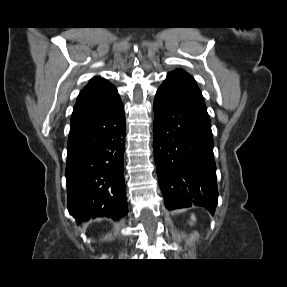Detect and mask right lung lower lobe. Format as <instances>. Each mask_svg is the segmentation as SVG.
Listing matches in <instances>:
<instances>
[{
  "mask_svg": "<svg viewBox=\"0 0 287 287\" xmlns=\"http://www.w3.org/2000/svg\"><path fill=\"white\" fill-rule=\"evenodd\" d=\"M67 145V207L78 223L127 214L125 114L119 99L102 111L71 118Z\"/></svg>",
  "mask_w": 287,
  "mask_h": 287,
  "instance_id": "1",
  "label": "right lung lower lobe"
}]
</instances>
